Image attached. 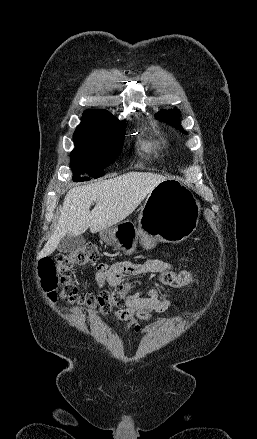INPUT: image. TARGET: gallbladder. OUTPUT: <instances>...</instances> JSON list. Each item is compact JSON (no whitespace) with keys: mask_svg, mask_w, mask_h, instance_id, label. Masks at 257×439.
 I'll use <instances>...</instances> for the list:
<instances>
[{"mask_svg":"<svg viewBox=\"0 0 257 439\" xmlns=\"http://www.w3.org/2000/svg\"><path fill=\"white\" fill-rule=\"evenodd\" d=\"M85 244V239L83 236H72L70 234L64 236L59 244L57 245V250L63 253H74L79 251Z\"/></svg>","mask_w":257,"mask_h":439,"instance_id":"1","label":"gallbladder"}]
</instances>
